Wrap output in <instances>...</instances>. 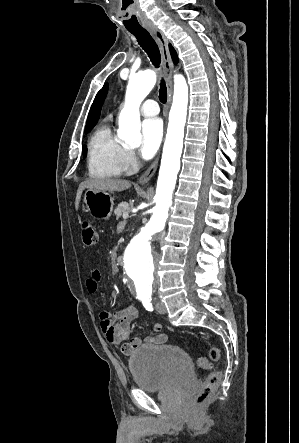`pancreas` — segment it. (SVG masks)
Here are the masks:
<instances>
[{
    "instance_id": "pancreas-1",
    "label": "pancreas",
    "mask_w": 299,
    "mask_h": 443,
    "mask_svg": "<svg viewBox=\"0 0 299 443\" xmlns=\"http://www.w3.org/2000/svg\"><path fill=\"white\" fill-rule=\"evenodd\" d=\"M128 211H129V204L127 202H121L114 210V214L118 219L124 213H128Z\"/></svg>"
}]
</instances>
